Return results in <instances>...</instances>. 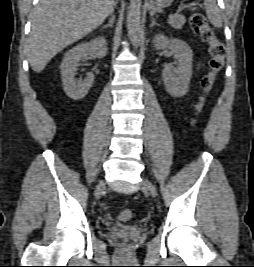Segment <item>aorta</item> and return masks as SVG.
<instances>
[{"instance_id": "aorta-1", "label": "aorta", "mask_w": 254, "mask_h": 267, "mask_svg": "<svg viewBox=\"0 0 254 267\" xmlns=\"http://www.w3.org/2000/svg\"><path fill=\"white\" fill-rule=\"evenodd\" d=\"M127 29L132 45L138 47L142 38L141 0H130L127 10Z\"/></svg>"}]
</instances>
